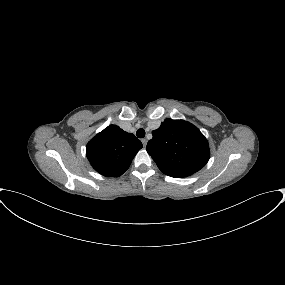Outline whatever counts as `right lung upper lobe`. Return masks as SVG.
Listing matches in <instances>:
<instances>
[{
  "instance_id": "1",
  "label": "right lung upper lobe",
  "mask_w": 285,
  "mask_h": 285,
  "mask_svg": "<svg viewBox=\"0 0 285 285\" xmlns=\"http://www.w3.org/2000/svg\"><path fill=\"white\" fill-rule=\"evenodd\" d=\"M141 148V141L133 134L117 125H109L88 142L86 153L98 173L105 177H118L129 168Z\"/></svg>"
}]
</instances>
